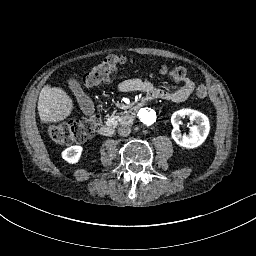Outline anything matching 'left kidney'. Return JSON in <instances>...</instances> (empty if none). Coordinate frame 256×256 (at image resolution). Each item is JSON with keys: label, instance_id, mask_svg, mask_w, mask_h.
Masks as SVG:
<instances>
[{"label": "left kidney", "instance_id": "5707ae66", "mask_svg": "<svg viewBox=\"0 0 256 256\" xmlns=\"http://www.w3.org/2000/svg\"><path fill=\"white\" fill-rule=\"evenodd\" d=\"M185 116H187L192 123L195 122L196 125L190 127L189 134L182 135L179 126L181 119ZM171 124L173 126L171 133L172 138L178 145L186 148H195L201 145L210 130L208 117L193 109H181L174 112L171 116Z\"/></svg>", "mask_w": 256, "mask_h": 256}]
</instances>
